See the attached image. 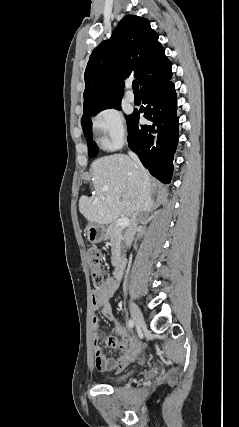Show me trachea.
<instances>
[{
	"label": "trachea",
	"instance_id": "trachea-1",
	"mask_svg": "<svg viewBox=\"0 0 239 427\" xmlns=\"http://www.w3.org/2000/svg\"><path fill=\"white\" fill-rule=\"evenodd\" d=\"M132 86H133V91L134 92H139V85H138V81L137 80L133 81Z\"/></svg>",
	"mask_w": 239,
	"mask_h": 427
}]
</instances>
